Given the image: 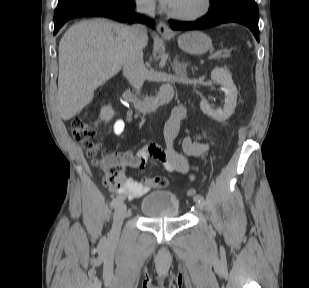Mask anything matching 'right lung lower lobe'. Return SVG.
<instances>
[{
	"label": "right lung lower lobe",
	"mask_w": 309,
	"mask_h": 288,
	"mask_svg": "<svg viewBox=\"0 0 309 288\" xmlns=\"http://www.w3.org/2000/svg\"><path fill=\"white\" fill-rule=\"evenodd\" d=\"M134 9V0H81L63 11L54 13V35L65 22L81 16H101L121 22L140 21ZM149 25L154 27L153 22H149Z\"/></svg>",
	"instance_id": "1"
}]
</instances>
